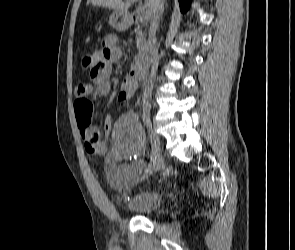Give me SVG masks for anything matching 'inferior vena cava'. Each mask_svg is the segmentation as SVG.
<instances>
[{
	"mask_svg": "<svg viewBox=\"0 0 295 250\" xmlns=\"http://www.w3.org/2000/svg\"><path fill=\"white\" fill-rule=\"evenodd\" d=\"M164 11V0H154L153 17L149 29L148 37V61L151 65V72L146 78L143 86L142 108L143 115L149 116L151 110V94L153 90L154 80L158 67V49L156 42V30L159 25V20Z\"/></svg>",
	"mask_w": 295,
	"mask_h": 250,
	"instance_id": "602c4592",
	"label": "inferior vena cava"
}]
</instances>
